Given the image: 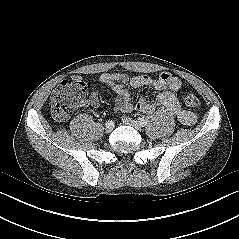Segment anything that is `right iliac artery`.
I'll return each instance as SVG.
<instances>
[{
	"instance_id": "right-iliac-artery-1",
	"label": "right iliac artery",
	"mask_w": 239,
	"mask_h": 239,
	"mask_svg": "<svg viewBox=\"0 0 239 239\" xmlns=\"http://www.w3.org/2000/svg\"><path fill=\"white\" fill-rule=\"evenodd\" d=\"M106 123H107V125H111V126H114L115 124H116V121L114 120V119H107V121H106Z\"/></svg>"
}]
</instances>
